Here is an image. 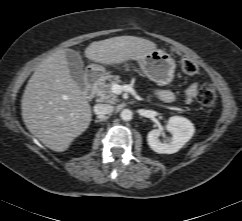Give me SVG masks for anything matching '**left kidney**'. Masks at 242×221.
<instances>
[{
	"label": "left kidney",
	"instance_id": "left-kidney-1",
	"mask_svg": "<svg viewBox=\"0 0 242 221\" xmlns=\"http://www.w3.org/2000/svg\"><path fill=\"white\" fill-rule=\"evenodd\" d=\"M166 130L172 137L161 141V131L151 130L147 135L150 148L159 154H173L178 152L194 135L195 128L191 121L181 116H173L168 120Z\"/></svg>",
	"mask_w": 242,
	"mask_h": 221
}]
</instances>
